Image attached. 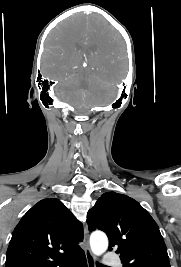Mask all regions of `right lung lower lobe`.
Instances as JSON below:
<instances>
[{
  "instance_id": "1",
  "label": "right lung lower lobe",
  "mask_w": 181,
  "mask_h": 267,
  "mask_svg": "<svg viewBox=\"0 0 181 267\" xmlns=\"http://www.w3.org/2000/svg\"><path fill=\"white\" fill-rule=\"evenodd\" d=\"M65 267H87L85 254L83 253L72 259L71 261H69V263L65 265Z\"/></svg>"
}]
</instances>
